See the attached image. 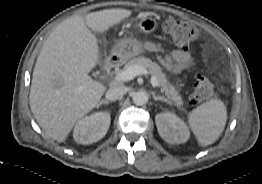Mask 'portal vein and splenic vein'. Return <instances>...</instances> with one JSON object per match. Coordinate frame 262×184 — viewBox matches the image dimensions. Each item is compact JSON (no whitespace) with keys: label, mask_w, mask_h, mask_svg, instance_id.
I'll use <instances>...</instances> for the list:
<instances>
[{"label":"portal vein and splenic vein","mask_w":262,"mask_h":184,"mask_svg":"<svg viewBox=\"0 0 262 184\" xmlns=\"http://www.w3.org/2000/svg\"><path fill=\"white\" fill-rule=\"evenodd\" d=\"M147 73L148 72L145 68H143L139 65H134V66L128 67L124 71L118 73L113 78V80L117 81V82L130 81L138 75H142V74L146 75ZM151 84H152L153 87H156L158 85V81L154 76L151 77Z\"/></svg>","instance_id":"portal-vein-and-splenic-vein-1"}]
</instances>
